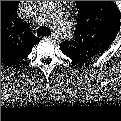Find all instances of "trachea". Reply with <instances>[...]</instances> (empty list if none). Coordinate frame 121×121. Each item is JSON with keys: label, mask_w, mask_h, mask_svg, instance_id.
Masks as SVG:
<instances>
[{"label": "trachea", "mask_w": 121, "mask_h": 121, "mask_svg": "<svg viewBox=\"0 0 121 121\" xmlns=\"http://www.w3.org/2000/svg\"><path fill=\"white\" fill-rule=\"evenodd\" d=\"M44 32H45V27L39 28V30H38L39 34H43Z\"/></svg>", "instance_id": "3493384b"}]
</instances>
